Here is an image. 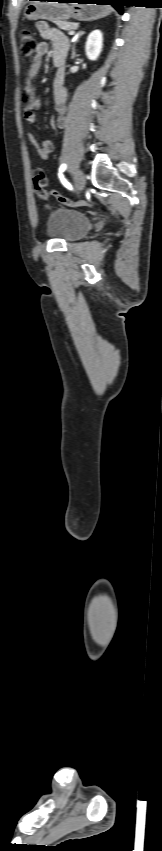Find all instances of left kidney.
I'll return each mask as SVG.
<instances>
[{
	"instance_id": "left-kidney-1",
	"label": "left kidney",
	"mask_w": 162,
	"mask_h": 851,
	"mask_svg": "<svg viewBox=\"0 0 162 851\" xmlns=\"http://www.w3.org/2000/svg\"><path fill=\"white\" fill-rule=\"evenodd\" d=\"M103 47V34L100 30L92 31L85 44L86 56L89 60L95 61L99 57Z\"/></svg>"
}]
</instances>
